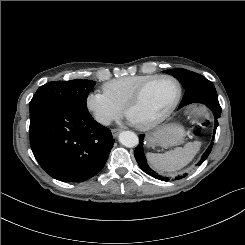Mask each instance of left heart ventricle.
Returning a JSON list of instances; mask_svg holds the SVG:
<instances>
[{"mask_svg": "<svg viewBox=\"0 0 245 245\" xmlns=\"http://www.w3.org/2000/svg\"><path fill=\"white\" fill-rule=\"evenodd\" d=\"M176 95L175 82L168 79L157 80L145 89L139 102L129 110L128 116L137 125L150 123L166 113Z\"/></svg>", "mask_w": 245, "mask_h": 245, "instance_id": "obj_1", "label": "left heart ventricle"}]
</instances>
